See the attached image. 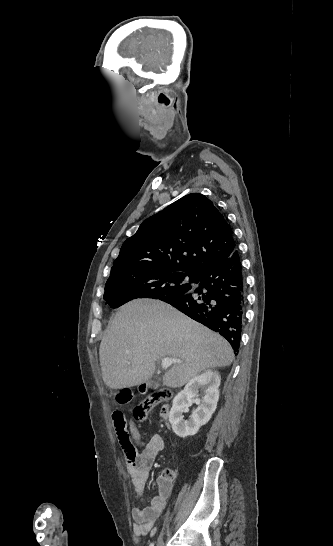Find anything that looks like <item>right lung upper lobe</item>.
Segmentation results:
<instances>
[{
  "instance_id": "right-lung-upper-lobe-1",
  "label": "right lung upper lobe",
  "mask_w": 333,
  "mask_h": 546,
  "mask_svg": "<svg viewBox=\"0 0 333 546\" xmlns=\"http://www.w3.org/2000/svg\"><path fill=\"white\" fill-rule=\"evenodd\" d=\"M236 248L224 216L207 197L192 193L146 219L123 243L111 270L137 267L196 276Z\"/></svg>"
}]
</instances>
